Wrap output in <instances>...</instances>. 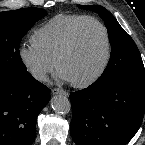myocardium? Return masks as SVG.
Here are the masks:
<instances>
[{
  "mask_svg": "<svg viewBox=\"0 0 145 145\" xmlns=\"http://www.w3.org/2000/svg\"><path fill=\"white\" fill-rule=\"evenodd\" d=\"M85 22H94L102 29V31L104 33V37H105L106 53H105V58H104L102 65L91 77H89L88 79L81 81V82H70L69 81L70 84L76 88H87V87L93 85L94 83H96L106 72V70L110 64L111 57H112V41H111L110 32H109L107 26L96 17L84 16L76 22V24L72 27V29L70 31L65 45L56 59L55 63H56L57 70L60 71L61 63L69 56V54L74 49L78 30L81 27V25L84 24Z\"/></svg>",
  "mask_w": 145,
  "mask_h": 145,
  "instance_id": "1",
  "label": "myocardium"
}]
</instances>
